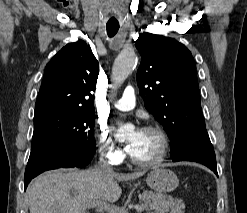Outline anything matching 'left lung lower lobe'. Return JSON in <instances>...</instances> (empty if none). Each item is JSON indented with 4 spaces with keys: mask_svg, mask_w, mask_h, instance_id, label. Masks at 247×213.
Returning a JSON list of instances; mask_svg holds the SVG:
<instances>
[{
    "mask_svg": "<svg viewBox=\"0 0 247 213\" xmlns=\"http://www.w3.org/2000/svg\"><path fill=\"white\" fill-rule=\"evenodd\" d=\"M170 153L174 162H198L210 168L218 176L216 157L207 131L191 132L183 144Z\"/></svg>",
    "mask_w": 247,
    "mask_h": 213,
    "instance_id": "left-lung-lower-lobe-1",
    "label": "left lung lower lobe"
}]
</instances>
